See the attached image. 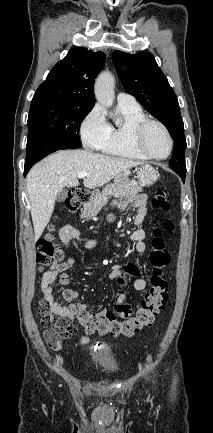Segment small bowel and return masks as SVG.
<instances>
[{
    "mask_svg": "<svg viewBox=\"0 0 213 433\" xmlns=\"http://www.w3.org/2000/svg\"><path fill=\"white\" fill-rule=\"evenodd\" d=\"M147 198L145 194H136L133 195L124 201L121 202L120 207L122 210L127 209L128 207H134L136 209V215L133 218V225L139 227L147 214ZM146 237V233L143 229L137 228L135 229L129 236L131 242L134 245L136 252L144 253L146 251V244L144 242ZM61 239L65 247H69L71 243L75 240H81L80 231L72 226L67 225L61 231ZM109 242L110 236H107L105 239V247L109 250ZM82 244L90 248L96 244L95 241H83ZM75 254H72L65 262L63 263H54L43 275L41 282V291L43 293V304L47 311L56 317L72 320L74 318L73 313L69 309V307L61 305L54 296L53 285L59 275H62L67 269H69L75 262ZM121 273H126L128 276L134 277L135 280L133 282V288L136 291H142L147 286L146 279L141 277L140 269L135 264H125V265H115L113 266V271L111 276L116 277ZM64 278V276H63ZM65 280V279H63ZM74 293V298L78 296L76 292ZM103 311L101 313H105ZM92 332H88L87 335H84L79 340V345H86L90 342V334ZM101 335V334H98ZM45 339L48 344L55 350H61L63 348L60 336L52 330L48 329L44 333ZM54 338V340H53Z\"/></svg>",
    "mask_w": 213,
    "mask_h": 433,
    "instance_id": "small-bowel-1",
    "label": "small bowel"
}]
</instances>
